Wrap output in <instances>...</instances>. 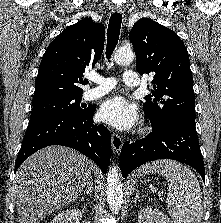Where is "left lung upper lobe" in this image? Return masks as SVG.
Returning <instances> with one entry per match:
<instances>
[{"mask_svg":"<svg viewBox=\"0 0 221 223\" xmlns=\"http://www.w3.org/2000/svg\"><path fill=\"white\" fill-rule=\"evenodd\" d=\"M139 74L154 73L152 96L145 97L144 113L161 128L175 118L195 120V94L189 56L179 36L143 18L130 31Z\"/></svg>","mask_w":221,"mask_h":223,"instance_id":"1","label":"left lung upper lobe"}]
</instances>
